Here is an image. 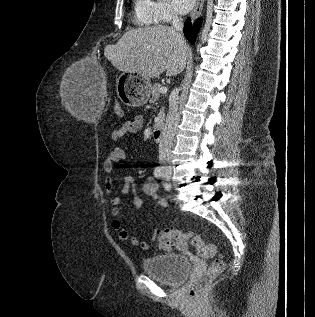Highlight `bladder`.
I'll return each mask as SVG.
<instances>
[{"label":"bladder","instance_id":"1","mask_svg":"<svg viewBox=\"0 0 315 317\" xmlns=\"http://www.w3.org/2000/svg\"><path fill=\"white\" fill-rule=\"evenodd\" d=\"M191 263L184 255L170 253L146 258L143 270L152 278L167 285L181 283L189 274Z\"/></svg>","mask_w":315,"mask_h":317}]
</instances>
